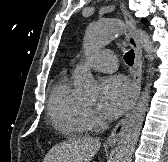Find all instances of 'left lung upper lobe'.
Here are the masks:
<instances>
[{
    "mask_svg": "<svg viewBox=\"0 0 168 162\" xmlns=\"http://www.w3.org/2000/svg\"><path fill=\"white\" fill-rule=\"evenodd\" d=\"M142 22H143V23H146V20L142 19Z\"/></svg>",
    "mask_w": 168,
    "mask_h": 162,
    "instance_id": "5c2ea615",
    "label": "left lung upper lobe"
}]
</instances>
